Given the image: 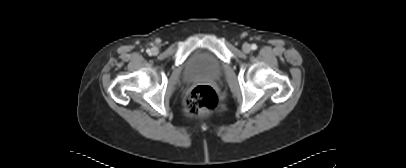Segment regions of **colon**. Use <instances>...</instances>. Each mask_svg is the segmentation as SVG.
<instances>
[{
    "label": "colon",
    "instance_id": "5ec220e1",
    "mask_svg": "<svg viewBox=\"0 0 406 168\" xmlns=\"http://www.w3.org/2000/svg\"><path fill=\"white\" fill-rule=\"evenodd\" d=\"M217 105V95L210 85L200 84L192 88L186 99L188 116H201L212 111Z\"/></svg>",
    "mask_w": 406,
    "mask_h": 168
}]
</instances>
